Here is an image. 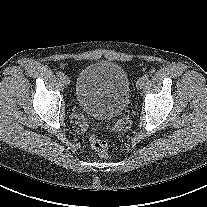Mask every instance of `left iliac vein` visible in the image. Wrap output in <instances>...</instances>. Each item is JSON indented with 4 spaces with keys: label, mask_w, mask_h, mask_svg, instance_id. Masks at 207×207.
<instances>
[{
    "label": "left iliac vein",
    "mask_w": 207,
    "mask_h": 207,
    "mask_svg": "<svg viewBox=\"0 0 207 207\" xmlns=\"http://www.w3.org/2000/svg\"><path fill=\"white\" fill-rule=\"evenodd\" d=\"M145 85V80L143 78L138 79L136 86L138 89H142Z\"/></svg>",
    "instance_id": "1"
}]
</instances>
